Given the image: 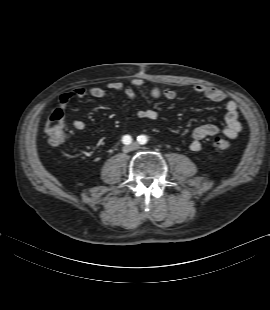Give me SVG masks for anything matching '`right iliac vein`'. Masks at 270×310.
Instances as JSON below:
<instances>
[{"label": "right iliac vein", "instance_id": "63e3f726", "mask_svg": "<svg viewBox=\"0 0 270 310\" xmlns=\"http://www.w3.org/2000/svg\"><path fill=\"white\" fill-rule=\"evenodd\" d=\"M131 150H132V147H131L130 145L123 147V151H124L125 153H127V152H129V151H131Z\"/></svg>", "mask_w": 270, "mask_h": 310}]
</instances>
